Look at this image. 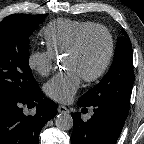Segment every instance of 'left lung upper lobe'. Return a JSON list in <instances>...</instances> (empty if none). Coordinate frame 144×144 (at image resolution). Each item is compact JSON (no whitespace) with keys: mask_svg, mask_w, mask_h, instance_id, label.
I'll return each mask as SVG.
<instances>
[{"mask_svg":"<svg viewBox=\"0 0 144 144\" xmlns=\"http://www.w3.org/2000/svg\"><path fill=\"white\" fill-rule=\"evenodd\" d=\"M116 43L113 63L104 78L86 92L78 102L93 106L108 102L129 110L130 94L134 83L132 45L127 33Z\"/></svg>","mask_w":144,"mask_h":144,"instance_id":"5c2ea615","label":"left lung upper lobe"}]
</instances>
